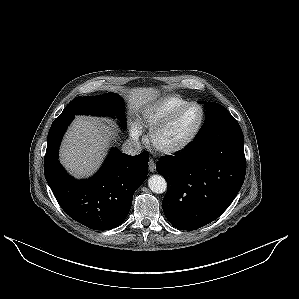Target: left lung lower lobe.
<instances>
[{
  "label": "left lung lower lobe",
  "instance_id": "left-lung-lower-lobe-1",
  "mask_svg": "<svg viewBox=\"0 0 299 299\" xmlns=\"http://www.w3.org/2000/svg\"><path fill=\"white\" fill-rule=\"evenodd\" d=\"M156 170L168 183L162 207L171 224L196 230L217 219L232 203L245 178L244 137L233 116L195 138Z\"/></svg>",
  "mask_w": 299,
  "mask_h": 299
}]
</instances>
